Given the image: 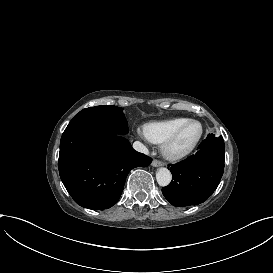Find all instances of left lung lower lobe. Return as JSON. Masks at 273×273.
I'll list each match as a JSON object with an SVG mask.
<instances>
[{
	"instance_id": "obj_1",
	"label": "left lung lower lobe",
	"mask_w": 273,
	"mask_h": 273,
	"mask_svg": "<svg viewBox=\"0 0 273 273\" xmlns=\"http://www.w3.org/2000/svg\"><path fill=\"white\" fill-rule=\"evenodd\" d=\"M198 148L195 155L170 167L172 181L162 188V193L173 206L203 203L220 183L225 161L222 136L209 134Z\"/></svg>"
}]
</instances>
